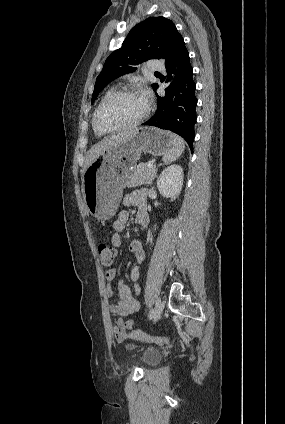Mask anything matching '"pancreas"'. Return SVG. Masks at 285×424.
Masks as SVG:
<instances>
[{
  "label": "pancreas",
  "instance_id": "pancreas-1",
  "mask_svg": "<svg viewBox=\"0 0 285 424\" xmlns=\"http://www.w3.org/2000/svg\"><path fill=\"white\" fill-rule=\"evenodd\" d=\"M156 177L155 166L148 167L147 163L137 165L127 182V187H137L140 185H150Z\"/></svg>",
  "mask_w": 285,
  "mask_h": 424
}]
</instances>
